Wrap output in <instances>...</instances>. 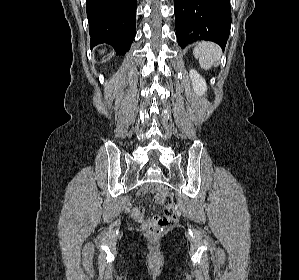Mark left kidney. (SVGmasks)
Listing matches in <instances>:
<instances>
[{"mask_svg": "<svg viewBox=\"0 0 299 280\" xmlns=\"http://www.w3.org/2000/svg\"><path fill=\"white\" fill-rule=\"evenodd\" d=\"M190 77L192 80L193 89L198 95H202L207 91L206 81L197 73V71L191 69Z\"/></svg>", "mask_w": 299, "mask_h": 280, "instance_id": "obj_1", "label": "left kidney"}]
</instances>
